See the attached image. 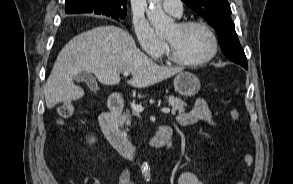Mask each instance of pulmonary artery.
Returning a JSON list of instances; mask_svg holds the SVG:
<instances>
[{
	"label": "pulmonary artery",
	"instance_id": "e3ab8cb5",
	"mask_svg": "<svg viewBox=\"0 0 293 184\" xmlns=\"http://www.w3.org/2000/svg\"><path fill=\"white\" fill-rule=\"evenodd\" d=\"M162 6L167 13L175 17H180L183 13V4L181 0H164Z\"/></svg>",
	"mask_w": 293,
	"mask_h": 184
}]
</instances>
